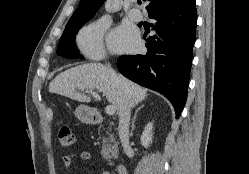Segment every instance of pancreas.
I'll return each instance as SVG.
<instances>
[{
	"mask_svg": "<svg viewBox=\"0 0 249 174\" xmlns=\"http://www.w3.org/2000/svg\"><path fill=\"white\" fill-rule=\"evenodd\" d=\"M108 137H103V145H102V155L106 160H110L115 157L117 154V144L112 134L107 132Z\"/></svg>",
	"mask_w": 249,
	"mask_h": 174,
	"instance_id": "cf45deb5",
	"label": "pancreas"
}]
</instances>
